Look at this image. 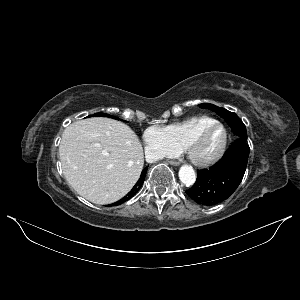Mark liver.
I'll use <instances>...</instances> for the list:
<instances>
[{"mask_svg": "<svg viewBox=\"0 0 300 300\" xmlns=\"http://www.w3.org/2000/svg\"><path fill=\"white\" fill-rule=\"evenodd\" d=\"M65 179L92 203L110 204L124 197L138 181L142 145L126 124L104 117L68 126L59 146Z\"/></svg>", "mask_w": 300, "mask_h": 300, "instance_id": "6515ba94", "label": "liver"}]
</instances>
